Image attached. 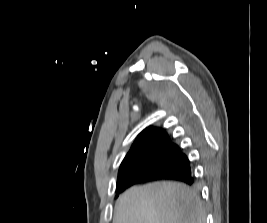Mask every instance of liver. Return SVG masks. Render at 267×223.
Listing matches in <instances>:
<instances>
[{"mask_svg":"<svg viewBox=\"0 0 267 223\" xmlns=\"http://www.w3.org/2000/svg\"><path fill=\"white\" fill-rule=\"evenodd\" d=\"M200 198L186 185L155 182L133 187L117 200L113 223H205Z\"/></svg>","mask_w":267,"mask_h":223,"instance_id":"1","label":"liver"}]
</instances>
